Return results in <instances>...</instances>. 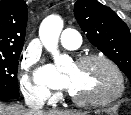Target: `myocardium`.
Listing matches in <instances>:
<instances>
[{"mask_svg": "<svg viewBox=\"0 0 131 115\" xmlns=\"http://www.w3.org/2000/svg\"><path fill=\"white\" fill-rule=\"evenodd\" d=\"M94 60H100L111 67V69L113 70L117 78V82H118L117 89L112 95L106 98H101V99L82 98L71 93L69 97L72 100V102H74L76 105L84 106V107H105L112 104L119 98H121L125 92V80H124L123 73L121 69L119 68V66L108 56L104 54H99V53L85 54V55L79 56L76 59L75 64L83 65Z\"/></svg>", "mask_w": 131, "mask_h": 115, "instance_id": "obj_1", "label": "myocardium"}]
</instances>
